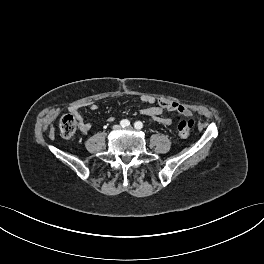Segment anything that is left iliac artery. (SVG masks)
Masks as SVG:
<instances>
[{
  "label": "left iliac artery",
  "instance_id": "1",
  "mask_svg": "<svg viewBox=\"0 0 264 264\" xmlns=\"http://www.w3.org/2000/svg\"><path fill=\"white\" fill-rule=\"evenodd\" d=\"M134 127L140 130L143 128V123L141 121H137L135 122Z\"/></svg>",
  "mask_w": 264,
  "mask_h": 264
}]
</instances>
